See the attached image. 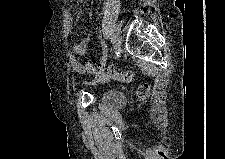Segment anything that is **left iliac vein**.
<instances>
[{"label":"left iliac vein","mask_w":225,"mask_h":159,"mask_svg":"<svg viewBox=\"0 0 225 159\" xmlns=\"http://www.w3.org/2000/svg\"><path fill=\"white\" fill-rule=\"evenodd\" d=\"M121 43H122L121 38L120 37H116V39L114 41V44H113V49H112L113 53H116L117 51L120 50Z\"/></svg>","instance_id":"obj_1"}]
</instances>
